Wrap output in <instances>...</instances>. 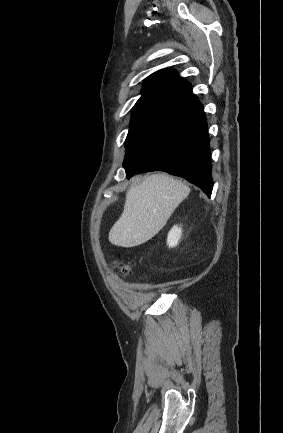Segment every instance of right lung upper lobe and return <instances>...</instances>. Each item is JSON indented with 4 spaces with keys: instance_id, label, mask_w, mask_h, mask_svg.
Listing matches in <instances>:
<instances>
[{
    "instance_id": "obj_1",
    "label": "right lung upper lobe",
    "mask_w": 283,
    "mask_h": 433,
    "mask_svg": "<svg viewBox=\"0 0 283 433\" xmlns=\"http://www.w3.org/2000/svg\"><path fill=\"white\" fill-rule=\"evenodd\" d=\"M192 97L194 94L190 83L179 77L177 72L165 69L147 78L142 96L133 110L163 114Z\"/></svg>"
}]
</instances>
